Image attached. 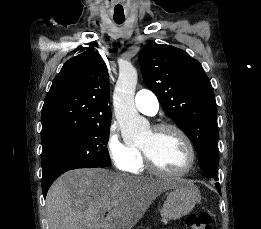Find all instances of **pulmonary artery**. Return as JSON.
Segmentation results:
<instances>
[{
	"mask_svg": "<svg viewBox=\"0 0 261 229\" xmlns=\"http://www.w3.org/2000/svg\"><path fill=\"white\" fill-rule=\"evenodd\" d=\"M135 106L142 114L155 116L159 110V101L152 91L142 89L136 93Z\"/></svg>",
	"mask_w": 261,
	"mask_h": 229,
	"instance_id": "e3ab8cb5",
	"label": "pulmonary artery"
}]
</instances>
